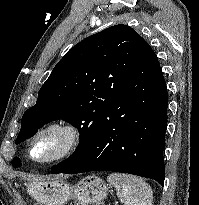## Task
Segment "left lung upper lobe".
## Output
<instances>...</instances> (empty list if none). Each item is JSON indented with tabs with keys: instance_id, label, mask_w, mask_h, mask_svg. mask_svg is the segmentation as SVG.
Returning a JSON list of instances; mask_svg holds the SVG:
<instances>
[{
	"instance_id": "obj_1",
	"label": "left lung upper lobe",
	"mask_w": 199,
	"mask_h": 205,
	"mask_svg": "<svg viewBox=\"0 0 199 205\" xmlns=\"http://www.w3.org/2000/svg\"><path fill=\"white\" fill-rule=\"evenodd\" d=\"M144 42L134 29L120 24L77 43L54 67L36 104L22 116L16 143L32 137L44 124L63 119L78 128L80 144L51 173L75 163L101 130L105 113L122 93ZM12 165L20 167V159L15 157Z\"/></svg>"
}]
</instances>
